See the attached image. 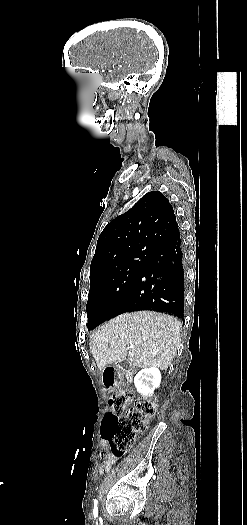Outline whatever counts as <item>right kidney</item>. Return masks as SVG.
<instances>
[{"label":"right kidney","instance_id":"right-kidney-1","mask_svg":"<svg viewBox=\"0 0 247 525\" xmlns=\"http://www.w3.org/2000/svg\"><path fill=\"white\" fill-rule=\"evenodd\" d=\"M161 373L156 367H150V369H141L134 377V385L136 391L143 395V397H151L155 389L160 387Z\"/></svg>","mask_w":247,"mask_h":525}]
</instances>
